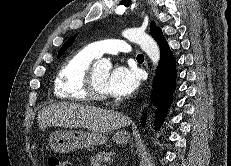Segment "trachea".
<instances>
[{"mask_svg": "<svg viewBox=\"0 0 231 166\" xmlns=\"http://www.w3.org/2000/svg\"><path fill=\"white\" fill-rule=\"evenodd\" d=\"M137 60H138V61H139V60H144L143 54H138V55H137Z\"/></svg>", "mask_w": 231, "mask_h": 166, "instance_id": "obj_1", "label": "trachea"}]
</instances>
